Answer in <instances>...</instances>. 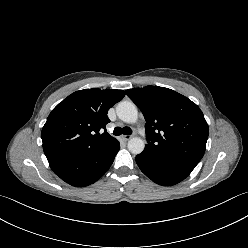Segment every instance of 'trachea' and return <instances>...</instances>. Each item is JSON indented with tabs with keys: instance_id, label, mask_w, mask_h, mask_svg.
<instances>
[{
	"instance_id": "obj_1",
	"label": "trachea",
	"mask_w": 248,
	"mask_h": 248,
	"mask_svg": "<svg viewBox=\"0 0 248 248\" xmlns=\"http://www.w3.org/2000/svg\"><path fill=\"white\" fill-rule=\"evenodd\" d=\"M113 134L116 136H119L121 134L124 135H131L132 134V130L129 127H115L113 130Z\"/></svg>"
}]
</instances>
